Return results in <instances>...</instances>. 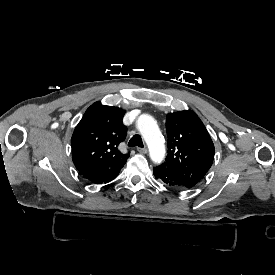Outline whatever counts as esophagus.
<instances>
[{
  "instance_id": "esophagus-1",
  "label": "esophagus",
  "mask_w": 275,
  "mask_h": 275,
  "mask_svg": "<svg viewBox=\"0 0 275 275\" xmlns=\"http://www.w3.org/2000/svg\"><path fill=\"white\" fill-rule=\"evenodd\" d=\"M137 151L141 154H147V152H148V150L146 148H141V147H138Z\"/></svg>"
}]
</instances>
